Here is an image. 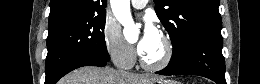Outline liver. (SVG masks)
Masks as SVG:
<instances>
[{
	"instance_id": "6515ba94",
	"label": "liver",
	"mask_w": 260,
	"mask_h": 84,
	"mask_svg": "<svg viewBox=\"0 0 260 84\" xmlns=\"http://www.w3.org/2000/svg\"><path fill=\"white\" fill-rule=\"evenodd\" d=\"M157 79L149 75L120 73L108 67L87 66L69 73L59 84H154Z\"/></svg>"
}]
</instances>
